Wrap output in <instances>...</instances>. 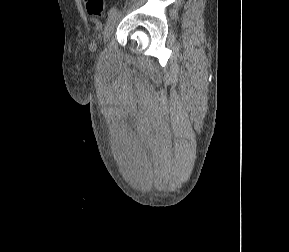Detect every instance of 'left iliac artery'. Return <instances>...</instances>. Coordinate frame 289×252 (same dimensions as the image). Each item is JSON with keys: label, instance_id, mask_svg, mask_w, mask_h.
<instances>
[{"label": "left iliac artery", "instance_id": "1", "mask_svg": "<svg viewBox=\"0 0 289 252\" xmlns=\"http://www.w3.org/2000/svg\"><path fill=\"white\" fill-rule=\"evenodd\" d=\"M118 9L117 7H112L109 11H108V16L110 17L111 15L117 13Z\"/></svg>", "mask_w": 289, "mask_h": 252}]
</instances>
